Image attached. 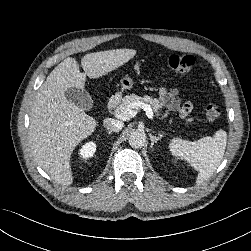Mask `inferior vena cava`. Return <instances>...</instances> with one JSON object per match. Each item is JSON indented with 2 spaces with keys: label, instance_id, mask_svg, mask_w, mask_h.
<instances>
[{
  "label": "inferior vena cava",
  "instance_id": "inferior-vena-cava-1",
  "mask_svg": "<svg viewBox=\"0 0 251 251\" xmlns=\"http://www.w3.org/2000/svg\"><path fill=\"white\" fill-rule=\"evenodd\" d=\"M123 123L113 119H105L104 127L110 132H119L123 128Z\"/></svg>",
  "mask_w": 251,
  "mask_h": 251
}]
</instances>
